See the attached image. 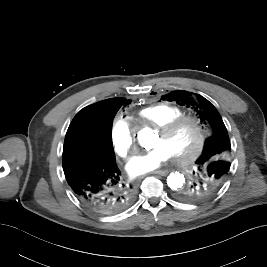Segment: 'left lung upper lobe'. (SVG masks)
Here are the masks:
<instances>
[{
    "label": "left lung upper lobe",
    "instance_id": "5c2ea615",
    "mask_svg": "<svg viewBox=\"0 0 267 267\" xmlns=\"http://www.w3.org/2000/svg\"><path fill=\"white\" fill-rule=\"evenodd\" d=\"M196 96L188 91H173L161 99L192 108L200 121L211 130V136L206 139L203 152L196 161L197 169H207L210 164L220 163L226 165L229 172L231 144L227 129L213 104L201 95Z\"/></svg>",
    "mask_w": 267,
    "mask_h": 267
}]
</instances>
